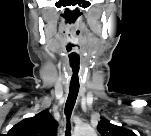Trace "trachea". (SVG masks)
<instances>
[{
	"mask_svg": "<svg viewBox=\"0 0 151 136\" xmlns=\"http://www.w3.org/2000/svg\"><path fill=\"white\" fill-rule=\"evenodd\" d=\"M78 72L79 70L73 71V75L70 81L69 94H68V98L65 104V115H66L67 120L70 119V116H71V113L74 108V105L78 96V92H79ZM74 77H77L75 81H74ZM69 131H70V125L68 122L67 132Z\"/></svg>",
	"mask_w": 151,
	"mask_h": 136,
	"instance_id": "1",
	"label": "trachea"
}]
</instances>
